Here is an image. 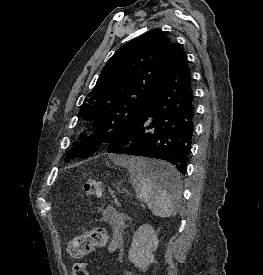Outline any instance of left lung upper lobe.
Instances as JSON below:
<instances>
[{
    "label": "left lung upper lobe",
    "instance_id": "1",
    "mask_svg": "<svg viewBox=\"0 0 263 275\" xmlns=\"http://www.w3.org/2000/svg\"><path fill=\"white\" fill-rule=\"evenodd\" d=\"M182 49L160 29L129 41L108 60L95 87L79 111L92 122L95 133L81 134L67 153L71 158L92 154L130 132L147 109L163 81L174 54Z\"/></svg>",
    "mask_w": 263,
    "mask_h": 275
}]
</instances>
